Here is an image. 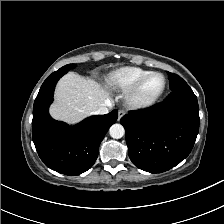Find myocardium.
Segmentation results:
<instances>
[{
    "label": "myocardium",
    "instance_id": "obj_1",
    "mask_svg": "<svg viewBox=\"0 0 224 224\" xmlns=\"http://www.w3.org/2000/svg\"><path fill=\"white\" fill-rule=\"evenodd\" d=\"M153 75H161L164 78V87L163 89L153 98L149 100H141L138 97L139 91L143 84ZM168 86V79L162 73L158 71H152L142 76L138 81H136L127 91L125 95V101L130 108L133 109H146L155 105L164 95Z\"/></svg>",
    "mask_w": 224,
    "mask_h": 224
}]
</instances>
